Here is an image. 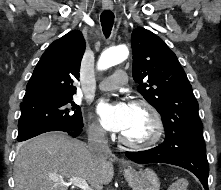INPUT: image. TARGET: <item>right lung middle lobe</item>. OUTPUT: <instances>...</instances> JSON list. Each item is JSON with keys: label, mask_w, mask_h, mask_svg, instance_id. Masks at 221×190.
<instances>
[{"label": "right lung middle lobe", "mask_w": 221, "mask_h": 190, "mask_svg": "<svg viewBox=\"0 0 221 190\" xmlns=\"http://www.w3.org/2000/svg\"><path fill=\"white\" fill-rule=\"evenodd\" d=\"M18 122V141L50 131H77L83 128L80 107L72 97L22 105Z\"/></svg>", "instance_id": "1"}]
</instances>
